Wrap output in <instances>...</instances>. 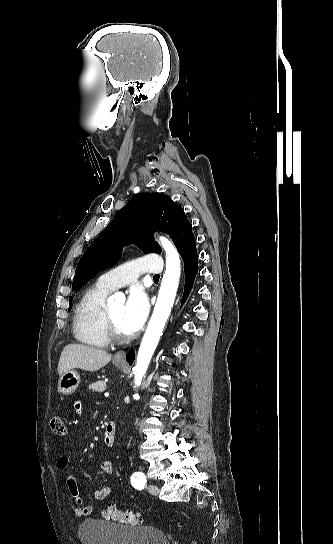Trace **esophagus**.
<instances>
[{
	"label": "esophagus",
	"instance_id": "34e87169",
	"mask_svg": "<svg viewBox=\"0 0 333 544\" xmlns=\"http://www.w3.org/2000/svg\"><path fill=\"white\" fill-rule=\"evenodd\" d=\"M126 353L124 351H118L114 355V359L117 361L125 362Z\"/></svg>",
	"mask_w": 333,
	"mask_h": 544
}]
</instances>
